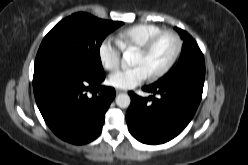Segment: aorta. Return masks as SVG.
Instances as JSON below:
<instances>
[{"mask_svg":"<svg viewBox=\"0 0 248 165\" xmlns=\"http://www.w3.org/2000/svg\"><path fill=\"white\" fill-rule=\"evenodd\" d=\"M123 56H124V59L126 60V62L128 64H133L135 55L132 51H129V50L125 51ZM130 103H131V99H130V96L128 94L121 93V94L117 95L116 104L118 107L128 108Z\"/></svg>","mask_w":248,"mask_h":165,"instance_id":"aorta-1","label":"aorta"}]
</instances>
